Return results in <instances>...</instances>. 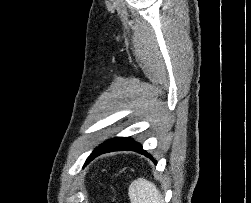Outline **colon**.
<instances>
[{
	"label": "colon",
	"instance_id": "5ec220e1",
	"mask_svg": "<svg viewBox=\"0 0 251 203\" xmlns=\"http://www.w3.org/2000/svg\"><path fill=\"white\" fill-rule=\"evenodd\" d=\"M112 203H115V201H114V200H112Z\"/></svg>",
	"mask_w": 251,
	"mask_h": 203
}]
</instances>
